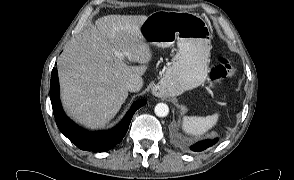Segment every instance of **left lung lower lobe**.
Returning a JSON list of instances; mask_svg holds the SVG:
<instances>
[{
  "label": "left lung lower lobe",
  "mask_w": 294,
  "mask_h": 180,
  "mask_svg": "<svg viewBox=\"0 0 294 180\" xmlns=\"http://www.w3.org/2000/svg\"><path fill=\"white\" fill-rule=\"evenodd\" d=\"M216 142H217V139L201 141L196 144H193L190 147V149L192 151L200 152V151L205 150L206 148L214 145Z\"/></svg>",
  "instance_id": "obj_1"
}]
</instances>
